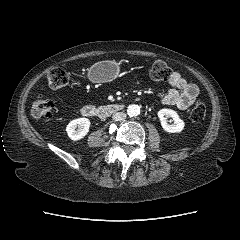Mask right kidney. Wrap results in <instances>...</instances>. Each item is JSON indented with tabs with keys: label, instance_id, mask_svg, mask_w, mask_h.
<instances>
[{
	"label": "right kidney",
	"instance_id": "ca27d5eb",
	"mask_svg": "<svg viewBox=\"0 0 240 240\" xmlns=\"http://www.w3.org/2000/svg\"><path fill=\"white\" fill-rule=\"evenodd\" d=\"M90 124L88 118L74 119L66 127L67 134L74 141L80 140L89 132Z\"/></svg>",
	"mask_w": 240,
	"mask_h": 240
}]
</instances>
